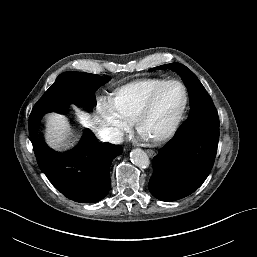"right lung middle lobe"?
Segmentation results:
<instances>
[{"label":"right lung middle lobe","mask_w":257,"mask_h":257,"mask_svg":"<svg viewBox=\"0 0 257 257\" xmlns=\"http://www.w3.org/2000/svg\"><path fill=\"white\" fill-rule=\"evenodd\" d=\"M108 79L96 74L66 72L57 77L53 85L44 93L32 109L29 130L41 117L48 113L66 110L70 104L77 103L89 110L94 107V92ZM40 126V125H39Z\"/></svg>","instance_id":"dd1d6c3e"}]
</instances>
